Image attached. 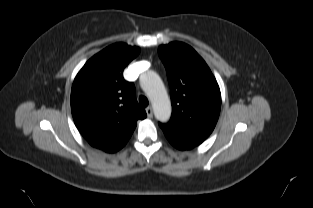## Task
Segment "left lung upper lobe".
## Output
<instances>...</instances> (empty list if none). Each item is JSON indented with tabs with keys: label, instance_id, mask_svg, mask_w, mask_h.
<instances>
[{
	"label": "left lung upper lobe",
	"instance_id": "5c2ea615",
	"mask_svg": "<svg viewBox=\"0 0 313 208\" xmlns=\"http://www.w3.org/2000/svg\"><path fill=\"white\" fill-rule=\"evenodd\" d=\"M171 88L172 115L159 123L168 140L193 147L213 131L221 108V94L205 61L189 45L171 42L158 48Z\"/></svg>",
	"mask_w": 313,
	"mask_h": 208
}]
</instances>
